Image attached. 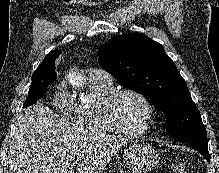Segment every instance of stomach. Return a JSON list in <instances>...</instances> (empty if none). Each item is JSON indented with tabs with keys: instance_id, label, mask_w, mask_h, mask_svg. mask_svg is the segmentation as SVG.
I'll return each mask as SVG.
<instances>
[{
	"instance_id": "stomach-1",
	"label": "stomach",
	"mask_w": 219,
	"mask_h": 173,
	"mask_svg": "<svg viewBox=\"0 0 219 173\" xmlns=\"http://www.w3.org/2000/svg\"><path fill=\"white\" fill-rule=\"evenodd\" d=\"M123 159L131 173H148L157 166L160 157L150 144L133 142L124 150Z\"/></svg>"
}]
</instances>
